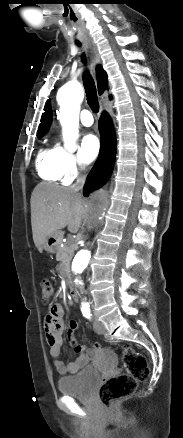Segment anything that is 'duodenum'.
Returning a JSON list of instances; mask_svg holds the SVG:
<instances>
[{
  "label": "duodenum",
  "instance_id": "1",
  "mask_svg": "<svg viewBox=\"0 0 183 438\" xmlns=\"http://www.w3.org/2000/svg\"><path fill=\"white\" fill-rule=\"evenodd\" d=\"M69 294L72 300L77 301L79 297L78 289L75 286L69 287Z\"/></svg>",
  "mask_w": 183,
  "mask_h": 438
}]
</instances>
